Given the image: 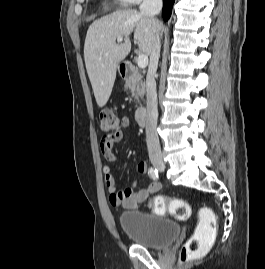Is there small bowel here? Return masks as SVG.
<instances>
[{"mask_svg": "<svg viewBox=\"0 0 265 269\" xmlns=\"http://www.w3.org/2000/svg\"><path fill=\"white\" fill-rule=\"evenodd\" d=\"M122 127L130 126V119L123 117L121 119ZM123 138V132L120 131L116 135L106 136L102 139L100 148L103 157L108 163L103 167V174L105 179V186L109 193V203L113 207H123L125 209H138L146 202L150 194L160 190L161 185L157 181H152L144 189L136 190L135 182L124 190H117L115 179L111 173L109 164L115 163L119 160V155L114 152V145ZM136 170L139 175H144L147 172V164L141 160L136 165Z\"/></svg>", "mask_w": 265, "mask_h": 269, "instance_id": "small-bowel-1", "label": "small bowel"}]
</instances>
